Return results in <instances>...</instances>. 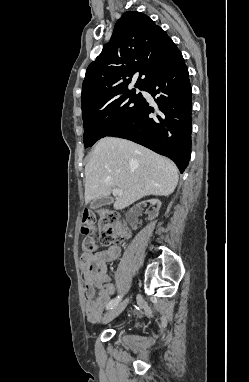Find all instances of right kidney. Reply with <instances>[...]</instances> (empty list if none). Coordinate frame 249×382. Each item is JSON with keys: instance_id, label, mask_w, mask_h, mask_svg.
Wrapping results in <instances>:
<instances>
[{"instance_id": "right-kidney-1", "label": "right kidney", "mask_w": 249, "mask_h": 382, "mask_svg": "<svg viewBox=\"0 0 249 382\" xmlns=\"http://www.w3.org/2000/svg\"><path fill=\"white\" fill-rule=\"evenodd\" d=\"M156 205V208L149 213V219L152 220L159 214V209L161 207V202L158 199L145 198L143 202V207L141 204H134L130 210L127 211L126 219L127 223L130 224L131 230L140 229L141 225L144 223L143 217H138V214H146L147 208H152Z\"/></svg>"}]
</instances>
